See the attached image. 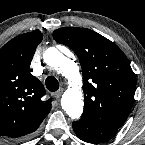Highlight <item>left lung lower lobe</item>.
I'll return each instance as SVG.
<instances>
[{
    "mask_svg": "<svg viewBox=\"0 0 145 145\" xmlns=\"http://www.w3.org/2000/svg\"><path fill=\"white\" fill-rule=\"evenodd\" d=\"M73 129L81 140L93 144L106 142L117 133V130L99 127L82 117L73 122Z\"/></svg>",
    "mask_w": 145,
    "mask_h": 145,
    "instance_id": "left-lung-lower-lobe-1",
    "label": "left lung lower lobe"
}]
</instances>
